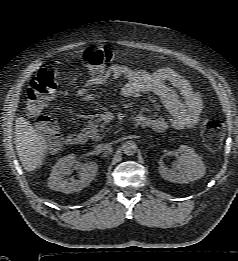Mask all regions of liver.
I'll return each instance as SVG.
<instances>
[{
  "label": "liver",
  "instance_id": "6515ba94",
  "mask_svg": "<svg viewBox=\"0 0 238 261\" xmlns=\"http://www.w3.org/2000/svg\"><path fill=\"white\" fill-rule=\"evenodd\" d=\"M15 146L27 172H33L44 163L47 152L45 138L24 117L15 120Z\"/></svg>",
  "mask_w": 238,
  "mask_h": 261
}]
</instances>
